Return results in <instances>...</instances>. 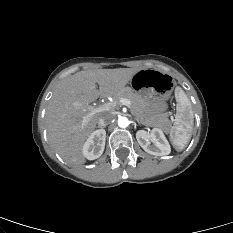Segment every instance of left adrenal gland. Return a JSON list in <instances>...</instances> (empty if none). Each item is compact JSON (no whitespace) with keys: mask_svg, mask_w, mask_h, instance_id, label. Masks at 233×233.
<instances>
[{"mask_svg":"<svg viewBox=\"0 0 233 233\" xmlns=\"http://www.w3.org/2000/svg\"><path fill=\"white\" fill-rule=\"evenodd\" d=\"M136 121L140 124L139 120H136Z\"/></svg>","mask_w":233,"mask_h":233,"instance_id":"a2214340","label":"left adrenal gland"}]
</instances>
